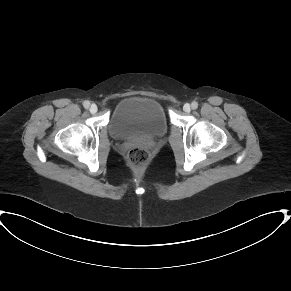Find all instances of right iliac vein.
<instances>
[{
    "label": "right iliac vein",
    "mask_w": 291,
    "mask_h": 291,
    "mask_svg": "<svg viewBox=\"0 0 291 291\" xmlns=\"http://www.w3.org/2000/svg\"><path fill=\"white\" fill-rule=\"evenodd\" d=\"M90 113L95 114L98 111V107L95 104H92L89 108Z\"/></svg>",
    "instance_id": "right-iliac-vein-1"
}]
</instances>
